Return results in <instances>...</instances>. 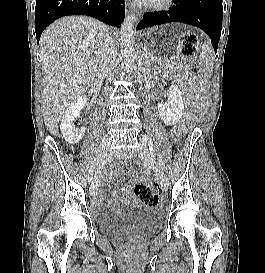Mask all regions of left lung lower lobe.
Masks as SVG:
<instances>
[{
	"label": "left lung lower lobe",
	"instance_id": "0a47b994",
	"mask_svg": "<svg viewBox=\"0 0 265 273\" xmlns=\"http://www.w3.org/2000/svg\"><path fill=\"white\" fill-rule=\"evenodd\" d=\"M174 3L166 12L145 13L137 30L169 22L187 23L205 31L216 52L222 27V0H175Z\"/></svg>",
	"mask_w": 265,
	"mask_h": 273
}]
</instances>
